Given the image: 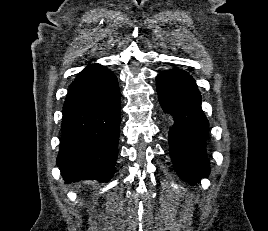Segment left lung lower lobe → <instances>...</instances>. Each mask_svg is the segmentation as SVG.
Listing matches in <instances>:
<instances>
[{
  "mask_svg": "<svg viewBox=\"0 0 268 231\" xmlns=\"http://www.w3.org/2000/svg\"><path fill=\"white\" fill-rule=\"evenodd\" d=\"M157 92L162 109L171 114L170 156L177 173L196 183L209 173L206 139L209 123L201 108V94L185 71L172 69L158 74Z\"/></svg>",
  "mask_w": 268,
  "mask_h": 231,
  "instance_id": "left-lung-lower-lobe-1",
  "label": "left lung lower lobe"
}]
</instances>
